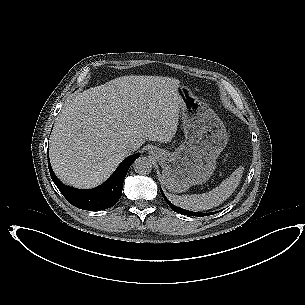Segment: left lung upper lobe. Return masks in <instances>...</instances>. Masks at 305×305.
Segmentation results:
<instances>
[{
  "label": "left lung upper lobe",
  "mask_w": 305,
  "mask_h": 305,
  "mask_svg": "<svg viewBox=\"0 0 305 305\" xmlns=\"http://www.w3.org/2000/svg\"><path fill=\"white\" fill-rule=\"evenodd\" d=\"M175 212H178V213H181V214H184V215H189V216L197 215L196 212L187 211V210H184V209H181V208H178V210L175 211Z\"/></svg>",
  "instance_id": "5c2ea615"
}]
</instances>
